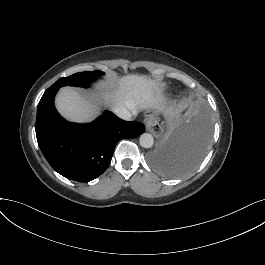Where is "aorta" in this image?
<instances>
[{"label":"aorta","mask_w":265,"mask_h":265,"mask_svg":"<svg viewBox=\"0 0 265 265\" xmlns=\"http://www.w3.org/2000/svg\"><path fill=\"white\" fill-rule=\"evenodd\" d=\"M139 143L143 148H151L154 143V138L149 133H143L139 138Z\"/></svg>","instance_id":"762f6f07"}]
</instances>
